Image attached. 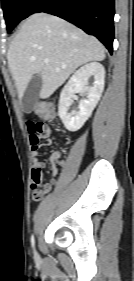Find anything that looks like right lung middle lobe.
Listing matches in <instances>:
<instances>
[{
    "mask_svg": "<svg viewBox=\"0 0 134 281\" xmlns=\"http://www.w3.org/2000/svg\"><path fill=\"white\" fill-rule=\"evenodd\" d=\"M35 0H2V9L7 23V31L12 29L28 15V9Z\"/></svg>",
    "mask_w": 134,
    "mask_h": 281,
    "instance_id": "right-lung-middle-lobe-1",
    "label": "right lung middle lobe"
}]
</instances>
